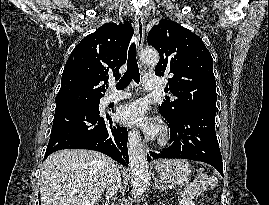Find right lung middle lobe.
I'll use <instances>...</instances> for the list:
<instances>
[{
    "label": "right lung middle lobe",
    "instance_id": "right-lung-middle-lobe-1",
    "mask_svg": "<svg viewBox=\"0 0 269 205\" xmlns=\"http://www.w3.org/2000/svg\"><path fill=\"white\" fill-rule=\"evenodd\" d=\"M65 110H93V111L99 112V101L60 107V108H56L55 112L65 111Z\"/></svg>",
    "mask_w": 269,
    "mask_h": 205
}]
</instances>
